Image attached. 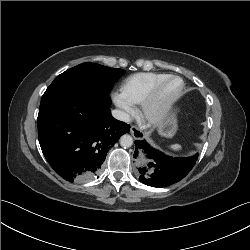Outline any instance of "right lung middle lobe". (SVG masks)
<instances>
[{
	"mask_svg": "<svg viewBox=\"0 0 250 250\" xmlns=\"http://www.w3.org/2000/svg\"><path fill=\"white\" fill-rule=\"evenodd\" d=\"M124 70L95 63H82L57 76L42 96L40 108L61 95L79 89L92 90L108 95Z\"/></svg>",
	"mask_w": 250,
	"mask_h": 250,
	"instance_id": "1",
	"label": "right lung middle lobe"
}]
</instances>
